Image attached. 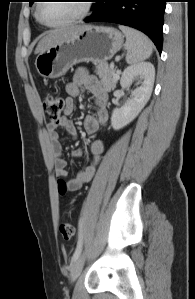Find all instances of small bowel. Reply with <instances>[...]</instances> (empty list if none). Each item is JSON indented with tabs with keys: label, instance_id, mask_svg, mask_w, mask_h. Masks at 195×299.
Here are the masks:
<instances>
[{
	"label": "small bowel",
	"instance_id": "1",
	"mask_svg": "<svg viewBox=\"0 0 195 299\" xmlns=\"http://www.w3.org/2000/svg\"><path fill=\"white\" fill-rule=\"evenodd\" d=\"M81 89L88 91L92 95L94 105L96 107V115H89L84 120L85 132L88 135H92L107 124V92L97 77L84 71L75 72L72 81L66 86L67 97L65 99L64 106V114L66 116L73 113L75 108L74 98L80 94ZM47 129L50 146L54 155V168L56 175L65 180L68 190L75 191L80 189L82 185L89 182L94 175L95 168L104 149L103 142L101 140H95L91 144L90 150L93 155L92 163L81 169L76 176L69 178V174L66 169V161L62 157V137L60 130L66 132L69 139H75L77 136V130L74 123L69 118L63 117L57 123H49L47 125ZM81 155V149H77L73 153L75 158H79Z\"/></svg>",
	"mask_w": 195,
	"mask_h": 299
}]
</instances>
